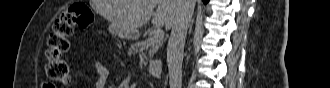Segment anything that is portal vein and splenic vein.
<instances>
[{
	"label": "portal vein and splenic vein",
	"mask_w": 330,
	"mask_h": 88,
	"mask_svg": "<svg viewBox=\"0 0 330 88\" xmlns=\"http://www.w3.org/2000/svg\"><path fill=\"white\" fill-rule=\"evenodd\" d=\"M154 38L159 40V41H162L163 38H164V31L162 30V28L160 27H157L155 32H154Z\"/></svg>",
	"instance_id": "18ae733b"
}]
</instances>
